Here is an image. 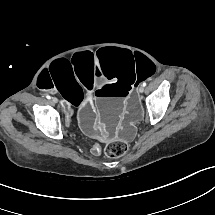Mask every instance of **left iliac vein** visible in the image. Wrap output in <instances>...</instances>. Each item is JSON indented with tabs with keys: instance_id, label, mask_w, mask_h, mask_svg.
Returning <instances> with one entry per match:
<instances>
[{
	"instance_id": "1",
	"label": "left iliac vein",
	"mask_w": 215,
	"mask_h": 215,
	"mask_svg": "<svg viewBox=\"0 0 215 215\" xmlns=\"http://www.w3.org/2000/svg\"><path fill=\"white\" fill-rule=\"evenodd\" d=\"M144 90H145V88H144V86L141 84V85L138 87V91H139L140 93H142V92H144Z\"/></svg>"
}]
</instances>
